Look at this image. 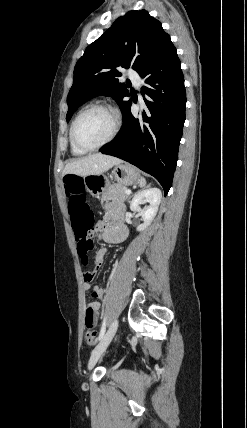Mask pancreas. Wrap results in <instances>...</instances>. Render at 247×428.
Here are the masks:
<instances>
[{
    "instance_id": "pancreas-1",
    "label": "pancreas",
    "mask_w": 247,
    "mask_h": 428,
    "mask_svg": "<svg viewBox=\"0 0 247 428\" xmlns=\"http://www.w3.org/2000/svg\"><path fill=\"white\" fill-rule=\"evenodd\" d=\"M127 187L120 184L109 185L102 194L101 202L104 201H114V202H124L128 195L125 194Z\"/></svg>"
}]
</instances>
